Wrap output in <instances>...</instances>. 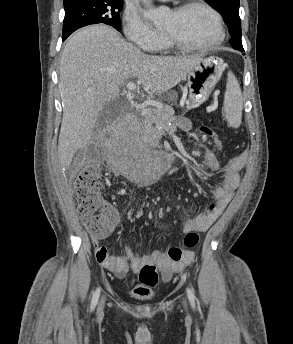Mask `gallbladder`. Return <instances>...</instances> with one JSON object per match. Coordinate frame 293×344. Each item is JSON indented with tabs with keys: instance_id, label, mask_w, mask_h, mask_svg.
Here are the masks:
<instances>
[{
	"instance_id": "gallbladder-1",
	"label": "gallbladder",
	"mask_w": 293,
	"mask_h": 344,
	"mask_svg": "<svg viewBox=\"0 0 293 344\" xmlns=\"http://www.w3.org/2000/svg\"><path fill=\"white\" fill-rule=\"evenodd\" d=\"M119 112V103L116 100H112L105 104L101 111V115L104 119L112 120L118 116Z\"/></svg>"
}]
</instances>
